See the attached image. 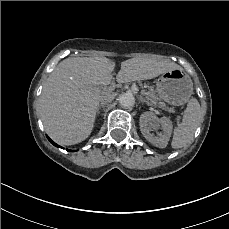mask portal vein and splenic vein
<instances>
[{"mask_svg": "<svg viewBox=\"0 0 229 229\" xmlns=\"http://www.w3.org/2000/svg\"><path fill=\"white\" fill-rule=\"evenodd\" d=\"M114 87H115V85L113 84V85L110 86L108 89H109L110 91H112V90L114 89Z\"/></svg>", "mask_w": 229, "mask_h": 229, "instance_id": "portal-vein-and-splenic-vein-1", "label": "portal vein and splenic vein"}]
</instances>
